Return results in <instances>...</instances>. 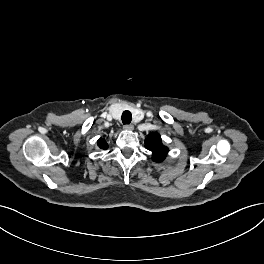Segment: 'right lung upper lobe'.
<instances>
[{"label":"right lung upper lobe","instance_id":"1","mask_svg":"<svg viewBox=\"0 0 264 264\" xmlns=\"http://www.w3.org/2000/svg\"><path fill=\"white\" fill-rule=\"evenodd\" d=\"M97 145L100 149L102 150H106L108 148V144L107 142L105 141V139L103 138H100L98 141H97Z\"/></svg>","mask_w":264,"mask_h":264}]
</instances>
